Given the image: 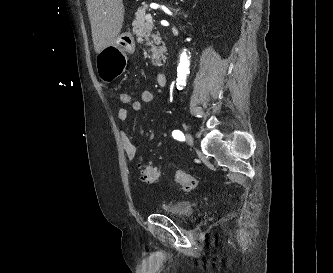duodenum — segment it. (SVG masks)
Instances as JSON below:
<instances>
[{"label": "duodenum", "instance_id": "1", "mask_svg": "<svg viewBox=\"0 0 333 273\" xmlns=\"http://www.w3.org/2000/svg\"><path fill=\"white\" fill-rule=\"evenodd\" d=\"M157 84L160 87H165L167 85V74L165 72H160L157 75Z\"/></svg>", "mask_w": 333, "mask_h": 273}]
</instances>
